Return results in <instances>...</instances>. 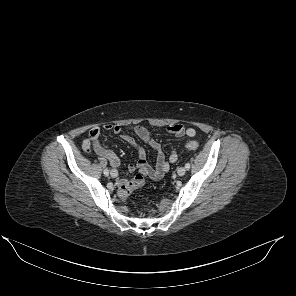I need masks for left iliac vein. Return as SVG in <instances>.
<instances>
[{
    "instance_id": "left-iliac-vein-1",
    "label": "left iliac vein",
    "mask_w": 296,
    "mask_h": 296,
    "mask_svg": "<svg viewBox=\"0 0 296 296\" xmlns=\"http://www.w3.org/2000/svg\"><path fill=\"white\" fill-rule=\"evenodd\" d=\"M186 173V168L184 167H179L178 170H177V174L179 176H183L184 174Z\"/></svg>"
}]
</instances>
